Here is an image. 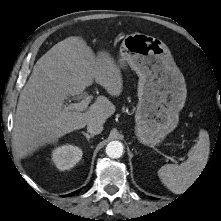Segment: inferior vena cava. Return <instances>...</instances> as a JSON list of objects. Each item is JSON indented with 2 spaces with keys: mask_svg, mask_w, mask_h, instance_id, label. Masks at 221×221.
Wrapping results in <instances>:
<instances>
[{
  "mask_svg": "<svg viewBox=\"0 0 221 221\" xmlns=\"http://www.w3.org/2000/svg\"><path fill=\"white\" fill-rule=\"evenodd\" d=\"M103 130V122L100 120H92L87 124V131L92 135L100 134Z\"/></svg>",
  "mask_w": 221,
  "mask_h": 221,
  "instance_id": "inferior-vena-cava-1",
  "label": "inferior vena cava"
}]
</instances>
